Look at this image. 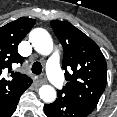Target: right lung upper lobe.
<instances>
[{
	"label": "right lung upper lobe",
	"mask_w": 117,
	"mask_h": 117,
	"mask_svg": "<svg viewBox=\"0 0 117 117\" xmlns=\"http://www.w3.org/2000/svg\"><path fill=\"white\" fill-rule=\"evenodd\" d=\"M34 24V19L22 17L0 27V113L8 109L32 83L31 78L18 72L12 71L10 80L1 74L5 69L11 71L12 63L24 61L17 51L18 44Z\"/></svg>",
	"instance_id": "cb5924a9"
}]
</instances>
